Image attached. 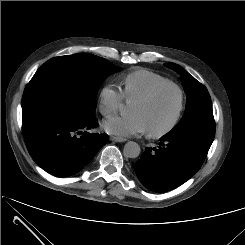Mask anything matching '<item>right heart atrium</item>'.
I'll list each match as a JSON object with an SVG mask.
<instances>
[{
    "mask_svg": "<svg viewBox=\"0 0 245 245\" xmlns=\"http://www.w3.org/2000/svg\"><path fill=\"white\" fill-rule=\"evenodd\" d=\"M122 102L123 96L121 92L110 84L102 86L98 95V107L103 115L108 116L116 112Z\"/></svg>",
    "mask_w": 245,
    "mask_h": 245,
    "instance_id": "d8ad5b80",
    "label": "right heart atrium"
}]
</instances>
